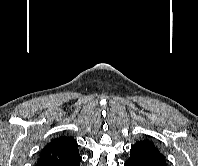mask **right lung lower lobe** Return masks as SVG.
Instances as JSON below:
<instances>
[{"label": "right lung lower lobe", "mask_w": 198, "mask_h": 166, "mask_svg": "<svg viewBox=\"0 0 198 166\" xmlns=\"http://www.w3.org/2000/svg\"><path fill=\"white\" fill-rule=\"evenodd\" d=\"M82 158L78 157L73 160H69L58 164H38V166H79Z\"/></svg>", "instance_id": "right-lung-lower-lobe-1"}]
</instances>
